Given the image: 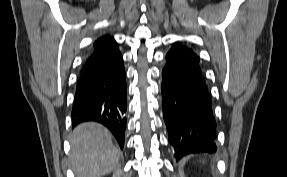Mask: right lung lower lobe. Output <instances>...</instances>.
Segmentation results:
<instances>
[{"mask_svg": "<svg viewBox=\"0 0 287 177\" xmlns=\"http://www.w3.org/2000/svg\"><path fill=\"white\" fill-rule=\"evenodd\" d=\"M126 94L122 55L112 37L102 36L94 42L78 77L72 125L99 122L112 132L122 149L126 129Z\"/></svg>", "mask_w": 287, "mask_h": 177, "instance_id": "obj_1", "label": "right lung lower lobe"}]
</instances>
